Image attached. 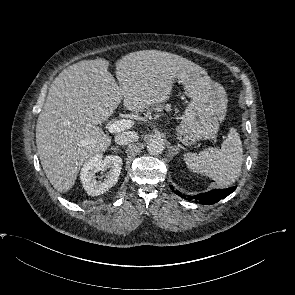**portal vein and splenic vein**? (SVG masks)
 <instances>
[{"label": "portal vein and splenic vein", "mask_w": 295, "mask_h": 295, "mask_svg": "<svg viewBox=\"0 0 295 295\" xmlns=\"http://www.w3.org/2000/svg\"><path fill=\"white\" fill-rule=\"evenodd\" d=\"M133 126V122L128 119L117 120L108 125L107 130L110 133H117L129 129Z\"/></svg>", "instance_id": "1"}]
</instances>
